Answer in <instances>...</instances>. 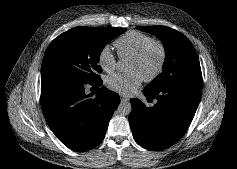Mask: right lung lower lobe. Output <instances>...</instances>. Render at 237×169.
Instances as JSON below:
<instances>
[{"label":"right lung lower lobe","mask_w":237,"mask_h":169,"mask_svg":"<svg viewBox=\"0 0 237 169\" xmlns=\"http://www.w3.org/2000/svg\"><path fill=\"white\" fill-rule=\"evenodd\" d=\"M101 86L102 80L85 83L68 78L41 79V106L56 137L68 148L87 151L98 146L105 135L119 95L105 87L95 98L86 95L85 86Z\"/></svg>","instance_id":"98d812e1"}]
</instances>
